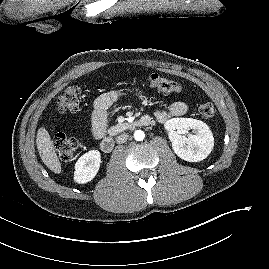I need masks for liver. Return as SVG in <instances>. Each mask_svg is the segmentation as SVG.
<instances>
[{"mask_svg": "<svg viewBox=\"0 0 269 269\" xmlns=\"http://www.w3.org/2000/svg\"><path fill=\"white\" fill-rule=\"evenodd\" d=\"M36 145L43 163L54 173L61 172V163L54 150L53 141L49 132L41 127L37 132Z\"/></svg>", "mask_w": 269, "mask_h": 269, "instance_id": "1", "label": "liver"}]
</instances>
